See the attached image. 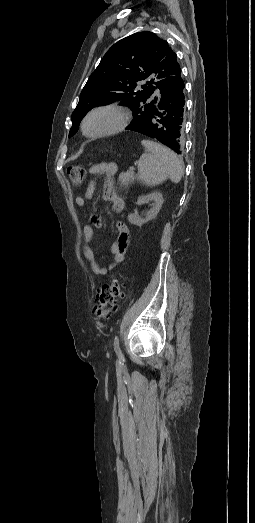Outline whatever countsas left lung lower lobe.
Masks as SVG:
<instances>
[{"label":"left lung lower lobe","instance_id":"left-lung-lower-lobe-1","mask_svg":"<svg viewBox=\"0 0 255 523\" xmlns=\"http://www.w3.org/2000/svg\"><path fill=\"white\" fill-rule=\"evenodd\" d=\"M186 82L181 80L179 85L173 86L170 92L163 94L161 105L151 112V117L142 127H135L140 135L155 137L159 144L165 148L170 147L172 151L181 153L182 131L184 125V106L187 103L183 92ZM177 107V109H176Z\"/></svg>","mask_w":255,"mask_h":523}]
</instances>
